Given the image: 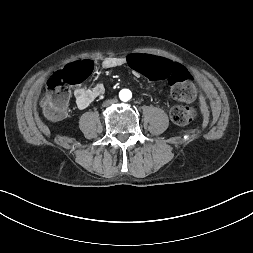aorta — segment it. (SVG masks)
I'll use <instances>...</instances> for the list:
<instances>
[{
    "label": "aorta",
    "instance_id": "aorta-1",
    "mask_svg": "<svg viewBox=\"0 0 253 253\" xmlns=\"http://www.w3.org/2000/svg\"><path fill=\"white\" fill-rule=\"evenodd\" d=\"M119 97L122 101H128L131 98V93L128 90H122Z\"/></svg>",
    "mask_w": 253,
    "mask_h": 253
}]
</instances>
